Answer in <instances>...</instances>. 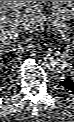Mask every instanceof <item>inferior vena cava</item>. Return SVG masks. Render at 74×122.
Instances as JSON below:
<instances>
[{"mask_svg":"<svg viewBox=\"0 0 74 122\" xmlns=\"http://www.w3.org/2000/svg\"><path fill=\"white\" fill-rule=\"evenodd\" d=\"M16 28L18 31H22L24 29V24L23 23H17Z\"/></svg>","mask_w":74,"mask_h":122,"instance_id":"602c4592","label":"inferior vena cava"}]
</instances>
